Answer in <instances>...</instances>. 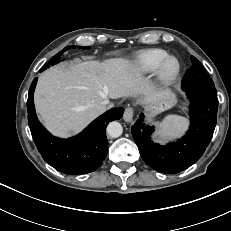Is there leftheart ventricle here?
<instances>
[{"label":"left heart ventricle","instance_id":"left-heart-ventricle-1","mask_svg":"<svg viewBox=\"0 0 231 231\" xmlns=\"http://www.w3.org/2000/svg\"><path fill=\"white\" fill-rule=\"evenodd\" d=\"M176 67V63L175 61H170L166 67V72L169 74V73H172L174 71Z\"/></svg>","mask_w":231,"mask_h":231}]
</instances>
